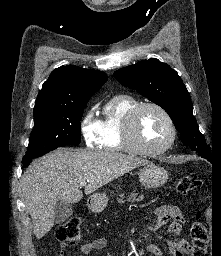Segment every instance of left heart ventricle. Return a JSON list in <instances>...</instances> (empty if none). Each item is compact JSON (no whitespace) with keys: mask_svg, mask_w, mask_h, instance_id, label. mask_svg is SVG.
<instances>
[{"mask_svg":"<svg viewBox=\"0 0 221 256\" xmlns=\"http://www.w3.org/2000/svg\"><path fill=\"white\" fill-rule=\"evenodd\" d=\"M138 132L149 148H159L169 139L170 130L165 117L154 108H145L139 116Z\"/></svg>","mask_w":221,"mask_h":256,"instance_id":"obj_1","label":"left heart ventricle"}]
</instances>
